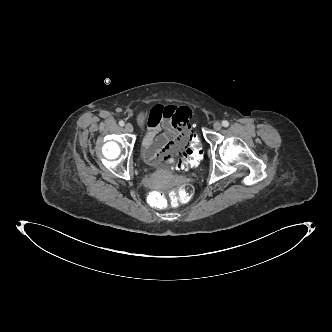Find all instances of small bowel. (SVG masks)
Returning <instances> with one entry per match:
<instances>
[{
    "label": "small bowel",
    "mask_w": 332,
    "mask_h": 332,
    "mask_svg": "<svg viewBox=\"0 0 332 332\" xmlns=\"http://www.w3.org/2000/svg\"><path fill=\"white\" fill-rule=\"evenodd\" d=\"M192 110L176 104H155L139 115L146 128L142 142L145 162L157 167L168 164L170 158L182 155L190 143L189 126Z\"/></svg>",
    "instance_id": "small-bowel-1"
}]
</instances>
